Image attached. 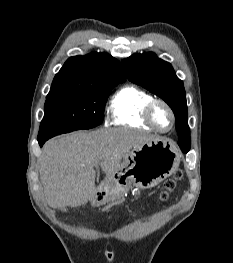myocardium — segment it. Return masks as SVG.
I'll use <instances>...</instances> for the list:
<instances>
[{"label": "myocardium", "instance_id": "myocardium-1", "mask_svg": "<svg viewBox=\"0 0 233 263\" xmlns=\"http://www.w3.org/2000/svg\"><path fill=\"white\" fill-rule=\"evenodd\" d=\"M157 105H162L164 108H166V110L170 114L171 123H170L169 128H167V129L160 128L154 120V109ZM143 117H144V120L146 121L147 124H149L154 130H156L160 133H167L170 130H172L174 125H175V122H176V117H175L173 109L171 108V106L166 101H164L162 99H154L153 98L151 101H149L145 105V108L143 111Z\"/></svg>", "mask_w": 233, "mask_h": 263}]
</instances>
